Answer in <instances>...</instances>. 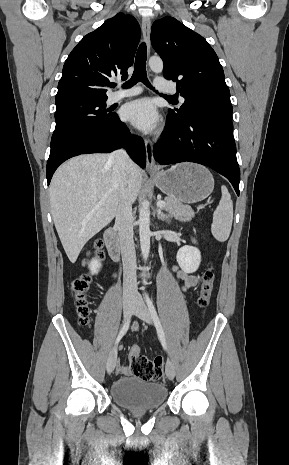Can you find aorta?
<instances>
[{
    "label": "aorta",
    "instance_id": "obj_1",
    "mask_svg": "<svg viewBox=\"0 0 289 465\" xmlns=\"http://www.w3.org/2000/svg\"><path fill=\"white\" fill-rule=\"evenodd\" d=\"M149 66L155 73L163 71V61L160 57L153 56L149 59ZM150 208L148 202H143L139 211V235L140 246L144 261L147 260L150 251Z\"/></svg>",
    "mask_w": 289,
    "mask_h": 465
}]
</instances>
